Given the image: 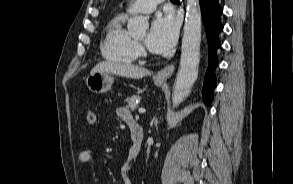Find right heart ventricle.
<instances>
[{"mask_svg": "<svg viewBox=\"0 0 293 184\" xmlns=\"http://www.w3.org/2000/svg\"><path fill=\"white\" fill-rule=\"evenodd\" d=\"M126 15L114 16L106 25L101 43L102 56L111 62L130 64L138 58L136 41L124 28Z\"/></svg>", "mask_w": 293, "mask_h": 184, "instance_id": "1", "label": "right heart ventricle"}]
</instances>
